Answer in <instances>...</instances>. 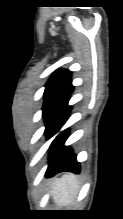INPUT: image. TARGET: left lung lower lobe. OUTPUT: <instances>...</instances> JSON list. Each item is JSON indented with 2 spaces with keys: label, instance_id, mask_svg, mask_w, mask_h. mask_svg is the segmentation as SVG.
<instances>
[{
  "label": "left lung lower lobe",
  "instance_id": "1",
  "mask_svg": "<svg viewBox=\"0 0 123 219\" xmlns=\"http://www.w3.org/2000/svg\"><path fill=\"white\" fill-rule=\"evenodd\" d=\"M68 100L69 99H67L48 119L45 129L48 138L56 134L67 120L71 110V106L68 105ZM67 133L68 130L61 132L50 146L51 152L46 176H52L62 171L78 173L80 170L76 155L72 153V149L69 146H64Z\"/></svg>",
  "mask_w": 123,
  "mask_h": 219
}]
</instances>
